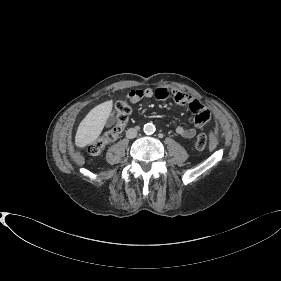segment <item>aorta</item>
Listing matches in <instances>:
<instances>
[{
  "label": "aorta",
  "mask_w": 281,
  "mask_h": 281,
  "mask_svg": "<svg viewBox=\"0 0 281 281\" xmlns=\"http://www.w3.org/2000/svg\"><path fill=\"white\" fill-rule=\"evenodd\" d=\"M144 132L148 135L153 134L156 130L155 125L152 123H146L143 128Z\"/></svg>",
  "instance_id": "1"
}]
</instances>
